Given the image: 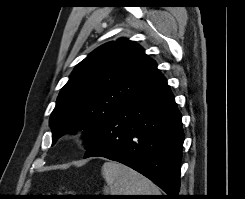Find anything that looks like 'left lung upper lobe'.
Instances as JSON below:
<instances>
[{
  "mask_svg": "<svg viewBox=\"0 0 245 199\" xmlns=\"http://www.w3.org/2000/svg\"><path fill=\"white\" fill-rule=\"evenodd\" d=\"M156 63L132 41L118 39L90 53L61 89L50 117L52 144L84 129L86 149L99 139L105 121L157 75Z\"/></svg>",
  "mask_w": 245,
  "mask_h": 199,
  "instance_id": "1",
  "label": "left lung upper lobe"
}]
</instances>
